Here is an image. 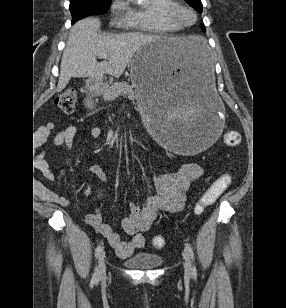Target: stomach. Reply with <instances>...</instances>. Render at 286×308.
Masks as SVG:
<instances>
[{"label": "stomach", "instance_id": "0dacf381", "mask_svg": "<svg viewBox=\"0 0 286 308\" xmlns=\"http://www.w3.org/2000/svg\"><path fill=\"white\" fill-rule=\"evenodd\" d=\"M215 67L213 48L197 36H157L141 44L130 78L144 125L158 132L155 144H165L170 153H204L210 144H221L223 107L214 91ZM87 88L100 90L93 79Z\"/></svg>", "mask_w": 286, "mask_h": 308}]
</instances>
